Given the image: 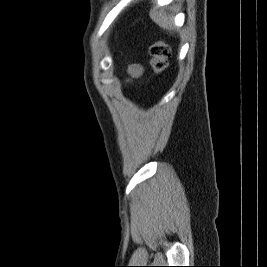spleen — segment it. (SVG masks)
<instances>
[{"label":"spleen","instance_id":"1","mask_svg":"<svg viewBox=\"0 0 267 267\" xmlns=\"http://www.w3.org/2000/svg\"><path fill=\"white\" fill-rule=\"evenodd\" d=\"M150 17L160 27L167 29L169 31L173 30V27H172L173 17H171L170 15H167L163 10L150 11Z\"/></svg>","mask_w":267,"mask_h":267}]
</instances>
